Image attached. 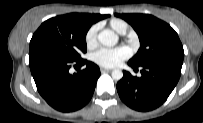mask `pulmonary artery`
<instances>
[{
  "mask_svg": "<svg viewBox=\"0 0 203 123\" xmlns=\"http://www.w3.org/2000/svg\"><path fill=\"white\" fill-rule=\"evenodd\" d=\"M126 31H127V29H124V30H122V31L120 32V34H125Z\"/></svg>",
  "mask_w": 203,
  "mask_h": 123,
  "instance_id": "pulmonary-artery-1",
  "label": "pulmonary artery"
}]
</instances>
